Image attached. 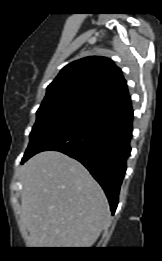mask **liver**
Here are the masks:
<instances>
[{"label":"liver","mask_w":162,"mask_h":261,"mask_svg":"<svg viewBox=\"0 0 162 261\" xmlns=\"http://www.w3.org/2000/svg\"><path fill=\"white\" fill-rule=\"evenodd\" d=\"M21 221L31 247L88 248L108 225L106 196L78 161L41 152L22 168Z\"/></svg>","instance_id":"1"}]
</instances>
